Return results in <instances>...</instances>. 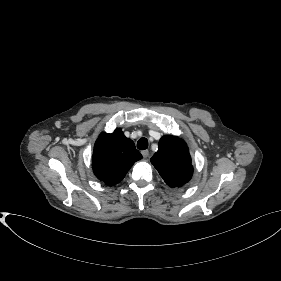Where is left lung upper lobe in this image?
<instances>
[{"label":"left lung upper lobe","mask_w":281,"mask_h":281,"mask_svg":"<svg viewBox=\"0 0 281 281\" xmlns=\"http://www.w3.org/2000/svg\"><path fill=\"white\" fill-rule=\"evenodd\" d=\"M151 163L172 188L182 187L193 174L188 147L176 136L165 135L160 139L159 149L151 158Z\"/></svg>","instance_id":"1"}]
</instances>
